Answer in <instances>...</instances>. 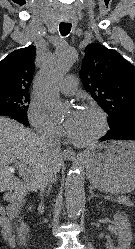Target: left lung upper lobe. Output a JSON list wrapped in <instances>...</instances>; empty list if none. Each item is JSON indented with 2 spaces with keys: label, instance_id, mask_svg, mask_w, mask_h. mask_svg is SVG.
<instances>
[{
  "label": "left lung upper lobe",
  "instance_id": "1",
  "mask_svg": "<svg viewBox=\"0 0 135 249\" xmlns=\"http://www.w3.org/2000/svg\"><path fill=\"white\" fill-rule=\"evenodd\" d=\"M80 77L85 88L109 115L110 128L135 114V66L117 51L92 43L85 49Z\"/></svg>",
  "mask_w": 135,
  "mask_h": 249
}]
</instances>
